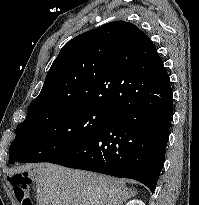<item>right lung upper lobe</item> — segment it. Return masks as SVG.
Masks as SVG:
<instances>
[{
  "label": "right lung upper lobe",
  "instance_id": "1",
  "mask_svg": "<svg viewBox=\"0 0 199 205\" xmlns=\"http://www.w3.org/2000/svg\"><path fill=\"white\" fill-rule=\"evenodd\" d=\"M164 73L144 32L129 22H110L63 46L28 108L78 104L113 111L155 89L157 76Z\"/></svg>",
  "mask_w": 199,
  "mask_h": 205
}]
</instances>
